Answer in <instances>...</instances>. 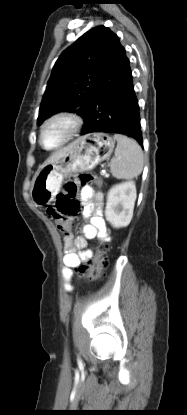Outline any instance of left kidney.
Returning <instances> with one entry per match:
<instances>
[{
    "label": "left kidney",
    "mask_w": 187,
    "mask_h": 415,
    "mask_svg": "<svg viewBox=\"0 0 187 415\" xmlns=\"http://www.w3.org/2000/svg\"><path fill=\"white\" fill-rule=\"evenodd\" d=\"M136 196L135 182L131 180L116 184L109 190L105 216L114 228L129 225L133 217Z\"/></svg>",
    "instance_id": "1"
}]
</instances>
